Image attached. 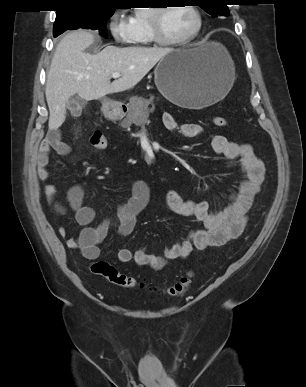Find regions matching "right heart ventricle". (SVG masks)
Returning a JSON list of instances; mask_svg holds the SVG:
<instances>
[{
	"instance_id": "1",
	"label": "right heart ventricle",
	"mask_w": 306,
	"mask_h": 387,
	"mask_svg": "<svg viewBox=\"0 0 306 387\" xmlns=\"http://www.w3.org/2000/svg\"><path fill=\"white\" fill-rule=\"evenodd\" d=\"M149 12L150 10L136 11L129 20L132 27L131 43L136 46H149L153 44L148 24Z\"/></svg>"
}]
</instances>
